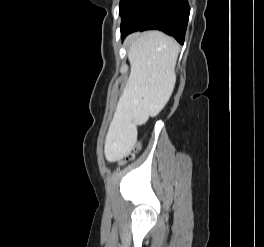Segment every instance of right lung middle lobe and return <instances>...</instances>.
I'll use <instances>...</instances> for the list:
<instances>
[{"instance_id":"obj_1","label":"right lung middle lobe","mask_w":264,"mask_h":247,"mask_svg":"<svg viewBox=\"0 0 264 247\" xmlns=\"http://www.w3.org/2000/svg\"><path fill=\"white\" fill-rule=\"evenodd\" d=\"M129 1L130 0H120V5H119V13H120V15L123 14V12H124V10H125V8H126V6H127Z\"/></svg>"}]
</instances>
